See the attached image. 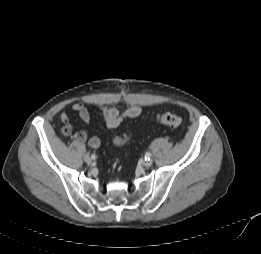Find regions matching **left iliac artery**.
<instances>
[{
  "mask_svg": "<svg viewBox=\"0 0 261 254\" xmlns=\"http://www.w3.org/2000/svg\"><path fill=\"white\" fill-rule=\"evenodd\" d=\"M151 159V154L149 152H147L145 154V160H150Z\"/></svg>",
  "mask_w": 261,
  "mask_h": 254,
  "instance_id": "obj_1",
  "label": "left iliac artery"
}]
</instances>
